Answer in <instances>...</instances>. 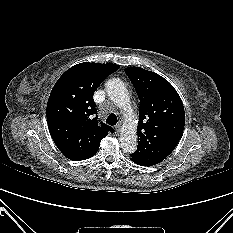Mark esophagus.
Wrapping results in <instances>:
<instances>
[{"mask_svg": "<svg viewBox=\"0 0 233 233\" xmlns=\"http://www.w3.org/2000/svg\"><path fill=\"white\" fill-rule=\"evenodd\" d=\"M120 131H121V124L119 123V124H117V125L115 126V132H116L117 134H119Z\"/></svg>", "mask_w": 233, "mask_h": 233, "instance_id": "1", "label": "esophagus"}]
</instances>
